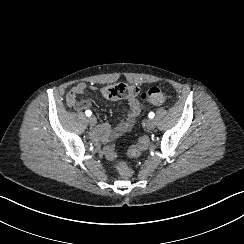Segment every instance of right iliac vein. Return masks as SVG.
Returning a JSON list of instances; mask_svg holds the SVG:
<instances>
[{"label": "right iliac vein", "mask_w": 244, "mask_h": 244, "mask_svg": "<svg viewBox=\"0 0 244 244\" xmlns=\"http://www.w3.org/2000/svg\"><path fill=\"white\" fill-rule=\"evenodd\" d=\"M88 123L90 124V125H95L96 123H97V120H96V117L95 116H89L88 117Z\"/></svg>", "instance_id": "1"}]
</instances>
